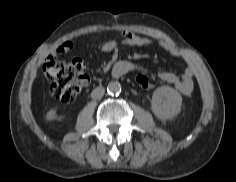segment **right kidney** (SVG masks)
Here are the masks:
<instances>
[{"instance_id": "1", "label": "right kidney", "mask_w": 236, "mask_h": 182, "mask_svg": "<svg viewBox=\"0 0 236 182\" xmlns=\"http://www.w3.org/2000/svg\"><path fill=\"white\" fill-rule=\"evenodd\" d=\"M45 118L48 121H52V120L56 119L57 118L56 110L52 109V110L48 111Z\"/></svg>"}]
</instances>
